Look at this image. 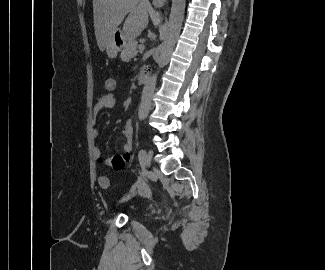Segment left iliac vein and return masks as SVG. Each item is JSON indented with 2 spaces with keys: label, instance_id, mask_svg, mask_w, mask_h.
<instances>
[{
  "label": "left iliac vein",
  "instance_id": "left-iliac-vein-1",
  "mask_svg": "<svg viewBox=\"0 0 325 270\" xmlns=\"http://www.w3.org/2000/svg\"><path fill=\"white\" fill-rule=\"evenodd\" d=\"M151 161H152V152L149 151L146 155H145V158H144V164L146 167H149L151 165ZM135 195V192H132V194L130 195H127L126 197H124L122 199V201H125V200H128L131 198V196Z\"/></svg>",
  "mask_w": 325,
  "mask_h": 270
}]
</instances>
